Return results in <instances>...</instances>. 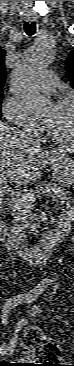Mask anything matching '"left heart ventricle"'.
<instances>
[{"label":"left heart ventricle","mask_w":74,"mask_h":366,"mask_svg":"<svg viewBox=\"0 0 74 366\" xmlns=\"http://www.w3.org/2000/svg\"><path fill=\"white\" fill-rule=\"evenodd\" d=\"M45 126L59 137L73 136L71 110L68 106H50L43 114Z\"/></svg>","instance_id":"1"}]
</instances>
